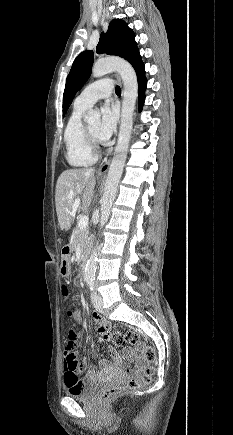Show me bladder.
Listing matches in <instances>:
<instances>
[{"label": "bladder", "instance_id": "obj_1", "mask_svg": "<svg viewBox=\"0 0 233 435\" xmlns=\"http://www.w3.org/2000/svg\"><path fill=\"white\" fill-rule=\"evenodd\" d=\"M100 383L97 381L85 384V386L77 392H68V396L78 401H88L96 394Z\"/></svg>", "mask_w": 233, "mask_h": 435}]
</instances>
